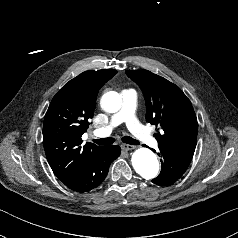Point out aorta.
Returning a JSON list of instances; mask_svg holds the SVG:
<instances>
[{"label": "aorta", "mask_w": 238, "mask_h": 238, "mask_svg": "<svg viewBox=\"0 0 238 238\" xmlns=\"http://www.w3.org/2000/svg\"><path fill=\"white\" fill-rule=\"evenodd\" d=\"M102 108L115 113L121 107V98L115 91H110L102 97ZM132 165L135 171L143 178L149 180L157 176L159 172V163L155 154L147 148H139L132 155Z\"/></svg>", "instance_id": "obj_1"}]
</instances>
